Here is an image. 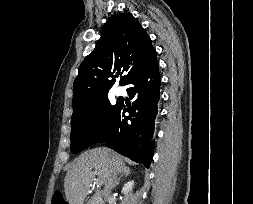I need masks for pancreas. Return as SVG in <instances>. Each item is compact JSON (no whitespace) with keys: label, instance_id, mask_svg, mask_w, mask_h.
Listing matches in <instances>:
<instances>
[{"label":"pancreas","instance_id":"obj_1","mask_svg":"<svg viewBox=\"0 0 253 204\" xmlns=\"http://www.w3.org/2000/svg\"><path fill=\"white\" fill-rule=\"evenodd\" d=\"M89 204H100V201L97 198L92 197Z\"/></svg>","mask_w":253,"mask_h":204}]
</instances>
